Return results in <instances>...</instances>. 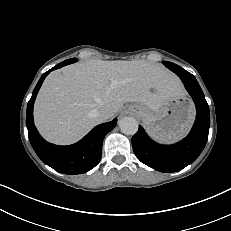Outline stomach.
<instances>
[{"mask_svg":"<svg viewBox=\"0 0 231 231\" xmlns=\"http://www.w3.org/2000/svg\"><path fill=\"white\" fill-rule=\"evenodd\" d=\"M126 110L140 118L148 132L164 143L182 138L195 118L193 103L184 93L171 96L156 111L142 103L129 105Z\"/></svg>","mask_w":231,"mask_h":231,"instance_id":"0dacf381","label":"stomach"}]
</instances>
